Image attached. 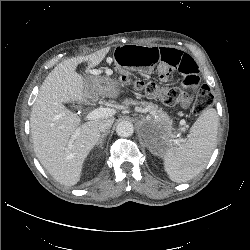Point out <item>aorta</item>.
I'll list each match as a JSON object with an SVG mask.
<instances>
[{"mask_svg":"<svg viewBox=\"0 0 250 250\" xmlns=\"http://www.w3.org/2000/svg\"><path fill=\"white\" fill-rule=\"evenodd\" d=\"M134 132V126L130 121H121L116 127V133L120 137H130Z\"/></svg>","mask_w":250,"mask_h":250,"instance_id":"obj_1","label":"aorta"}]
</instances>
